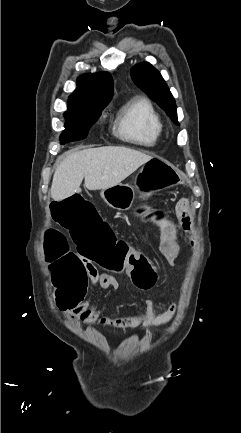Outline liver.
<instances>
[{
  "instance_id": "liver-1",
  "label": "liver",
  "mask_w": 241,
  "mask_h": 433,
  "mask_svg": "<svg viewBox=\"0 0 241 433\" xmlns=\"http://www.w3.org/2000/svg\"><path fill=\"white\" fill-rule=\"evenodd\" d=\"M151 159L149 155L125 147L70 151L55 169L51 196L58 202L81 192L83 178L88 190L113 187Z\"/></svg>"
}]
</instances>
